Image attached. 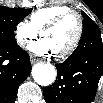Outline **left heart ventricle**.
Segmentation results:
<instances>
[{"label":"left heart ventricle","mask_w":103,"mask_h":103,"mask_svg":"<svg viewBox=\"0 0 103 103\" xmlns=\"http://www.w3.org/2000/svg\"><path fill=\"white\" fill-rule=\"evenodd\" d=\"M77 28L78 21L76 17L71 16L56 28L45 32L43 36L50 40L56 53L66 48L72 42L76 35Z\"/></svg>","instance_id":"b2bd125f"}]
</instances>
